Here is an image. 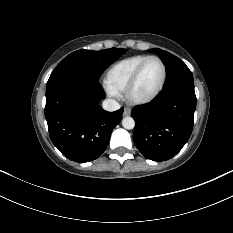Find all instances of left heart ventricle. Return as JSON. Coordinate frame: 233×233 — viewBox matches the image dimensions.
Segmentation results:
<instances>
[{"label": "left heart ventricle", "mask_w": 233, "mask_h": 233, "mask_svg": "<svg viewBox=\"0 0 233 233\" xmlns=\"http://www.w3.org/2000/svg\"><path fill=\"white\" fill-rule=\"evenodd\" d=\"M163 69L159 61L150 60L144 67L138 82L136 83L133 96L144 98L151 95L160 85Z\"/></svg>", "instance_id": "left-heart-ventricle-1"}]
</instances>
